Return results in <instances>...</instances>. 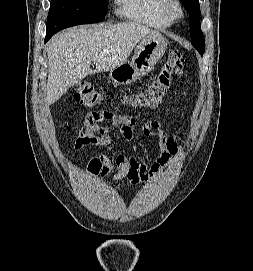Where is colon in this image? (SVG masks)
Returning <instances> with one entry per match:
<instances>
[{
  "mask_svg": "<svg viewBox=\"0 0 253 271\" xmlns=\"http://www.w3.org/2000/svg\"><path fill=\"white\" fill-rule=\"evenodd\" d=\"M185 59L177 49L169 51L165 68L144 90L125 94L123 99L132 107L151 109L157 107L169 92L174 80H182ZM75 100L88 107H96L103 104L107 97L104 93L94 90L88 83H81L77 86ZM101 113V112H98Z\"/></svg>",
  "mask_w": 253,
  "mask_h": 271,
  "instance_id": "1",
  "label": "colon"
}]
</instances>
